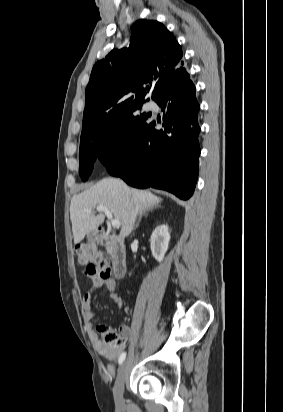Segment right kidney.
Here are the masks:
<instances>
[{"label": "right kidney", "mask_w": 283, "mask_h": 412, "mask_svg": "<svg viewBox=\"0 0 283 412\" xmlns=\"http://www.w3.org/2000/svg\"><path fill=\"white\" fill-rule=\"evenodd\" d=\"M170 241V234L167 225L158 226L152 233L150 239V248L153 257L161 262L164 258Z\"/></svg>", "instance_id": "right-kidney-1"}]
</instances>
